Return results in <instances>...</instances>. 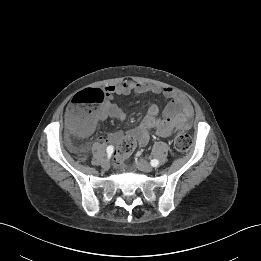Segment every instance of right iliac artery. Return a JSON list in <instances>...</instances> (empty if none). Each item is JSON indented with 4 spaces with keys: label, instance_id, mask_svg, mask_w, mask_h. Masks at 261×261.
Here are the masks:
<instances>
[{
    "label": "right iliac artery",
    "instance_id": "1",
    "mask_svg": "<svg viewBox=\"0 0 261 261\" xmlns=\"http://www.w3.org/2000/svg\"><path fill=\"white\" fill-rule=\"evenodd\" d=\"M114 151V147L112 145L108 146L106 149V152L108 154V156H110Z\"/></svg>",
    "mask_w": 261,
    "mask_h": 261
}]
</instances>
